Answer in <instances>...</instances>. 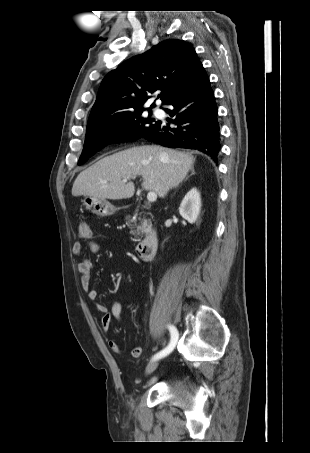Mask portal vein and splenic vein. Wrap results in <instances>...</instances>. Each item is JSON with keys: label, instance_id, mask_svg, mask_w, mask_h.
Returning <instances> with one entry per match:
<instances>
[{"label": "portal vein and splenic vein", "instance_id": "1", "mask_svg": "<svg viewBox=\"0 0 310 453\" xmlns=\"http://www.w3.org/2000/svg\"><path fill=\"white\" fill-rule=\"evenodd\" d=\"M127 180H128V178H124V179H123V182H127ZM156 199H157V194H156L155 192H149V193L147 194V200H148V202H151V203H152V202H155Z\"/></svg>", "mask_w": 310, "mask_h": 453}]
</instances>
